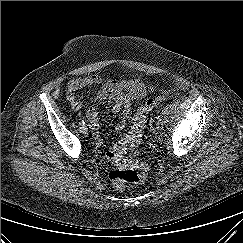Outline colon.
Masks as SVG:
<instances>
[{
    "label": "colon",
    "mask_w": 243,
    "mask_h": 243,
    "mask_svg": "<svg viewBox=\"0 0 243 243\" xmlns=\"http://www.w3.org/2000/svg\"><path fill=\"white\" fill-rule=\"evenodd\" d=\"M168 97V92H163L156 97L148 98L137 109L129 132L107 151L106 157L114 166L109 173V178L115 189H123L126 184H139L145 179L149 171V164L146 161L135 160L129 153L141 141L149 112L166 101Z\"/></svg>",
    "instance_id": "obj_1"
}]
</instances>
